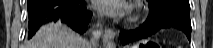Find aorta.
<instances>
[{
  "label": "aorta",
  "instance_id": "aorta-1",
  "mask_svg": "<svg viewBox=\"0 0 213 48\" xmlns=\"http://www.w3.org/2000/svg\"><path fill=\"white\" fill-rule=\"evenodd\" d=\"M106 48H115V43L112 40V34H109Z\"/></svg>",
  "mask_w": 213,
  "mask_h": 48
}]
</instances>
